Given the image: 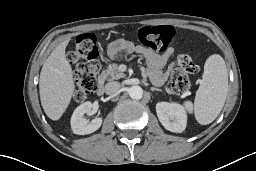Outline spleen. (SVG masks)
<instances>
[{"label": "spleen", "instance_id": "1", "mask_svg": "<svg viewBox=\"0 0 256 171\" xmlns=\"http://www.w3.org/2000/svg\"><path fill=\"white\" fill-rule=\"evenodd\" d=\"M228 93V71L219 54L209 56L204 65L202 81L196 92L194 104L184 103L201 125L212 123L221 112Z\"/></svg>", "mask_w": 256, "mask_h": 171}]
</instances>
